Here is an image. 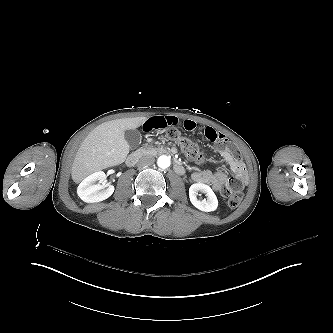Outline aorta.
<instances>
[{
    "label": "aorta",
    "mask_w": 333,
    "mask_h": 333,
    "mask_svg": "<svg viewBox=\"0 0 333 333\" xmlns=\"http://www.w3.org/2000/svg\"><path fill=\"white\" fill-rule=\"evenodd\" d=\"M157 163L160 168L166 169L170 166V158L166 155H162L158 158Z\"/></svg>",
    "instance_id": "obj_1"
}]
</instances>
